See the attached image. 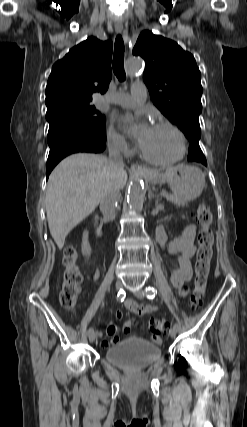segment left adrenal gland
I'll list each match as a JSON object with an SVG mask.
<instances>
[{
	"instance_id": "obj_1",
	"label": "left adrenal gland",
	"mask_w": 247,
	"mask_h": 427,
	"mask_svg": "<svg viewBox=\"0 0 247 427\" xmlns=\"http://www.w3.org/2000/svg\"><path fill=\"white\" fill-rule=\"evenodd\" d=\"M148 199H149V201H151L152 199H155V202L158 203L159 195L153 194L152 190L149 189Z\"/></svg>"
}]
</instances>
